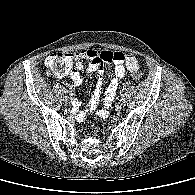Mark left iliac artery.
I'll use <instances>...</instances> for the list:
<instances>
[{
  "label": "left iliac artery",
  "mask_w": 195,
  "mask_h": 195,
  "mask_svg": "<svg viewBox=\"0 0 195 195\" xmlns=\"http://www.w3.org/2000/svg\"><path fill=\"white\" fill-rule=\"evenodd\" d=\"M121 97H122V99H123L124 95L121 94Z\"/></svg>",
  "instance_id": "44dca946"
}]
</instances>
